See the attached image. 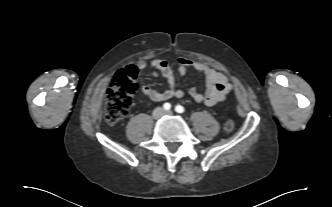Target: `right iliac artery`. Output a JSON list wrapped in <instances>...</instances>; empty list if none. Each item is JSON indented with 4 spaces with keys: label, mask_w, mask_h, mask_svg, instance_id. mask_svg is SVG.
<instances>
[{
    "label": "right iliac artery",
    "mask_w": 332,
    "mask_h": 207,
    "mask_svg": "<svg viewBox=\"0 0 332 207\" xmlns=\"http://www.w3.org/2000/svg\"><path fill=\"white\" fill-rule=\"evenodd\" d=\"M163 108H164L165 110H170V109H171V104H170V103H165V104L163 105Z\"/></svg>",
    "instance_id": "82829eb1"
}]
</instances>
